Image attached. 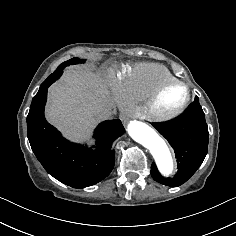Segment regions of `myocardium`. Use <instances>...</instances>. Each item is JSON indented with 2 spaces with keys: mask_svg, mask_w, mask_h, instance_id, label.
Returning <instances> with one entry per match:
<instances>
[{
  "mask_svg": "<svg viewBox=\"0 0 236 236\" xmlns=\"http://www.w3.org/2000/svg\"><path fill=\"white\" fill-rule=\"evenodd\" d=\"M183 87L185 94L181 103L174 109L163 112L159 108V102L163 94L170 88ZM191 101V90L189 86L181 80L166 81L159 85L145 101L144 111L149 121L155 123H166L179 117L189 106Z\"/></svg>",
  "mask_w": 236,
  "mask_h": 236,
  "instance_id": "f54148a6",
  "label": "myocardium"
}]
</instances>
